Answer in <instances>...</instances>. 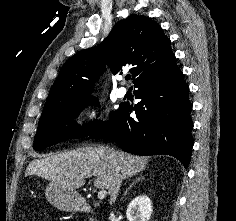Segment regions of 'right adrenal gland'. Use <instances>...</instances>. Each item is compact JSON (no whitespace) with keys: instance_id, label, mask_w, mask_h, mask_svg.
Returning a JSON list of instances; mask_svg holds the SVG:
<instances>
[{"instance_id":"2a0ac1e0","label":"right adrenal gland","mask_w":236,"mask_h":221,"mask_svg":"<svg viewBox=\"0 0 236 221\" xmlns=\"http://www.w3.org/2000/svg\"><path fill=\"white\" fill-rule=\"evenodd\" d=\"M143 179H144V177H143V176H140L139 178H137L136 180H134V181L130 184V186L125 190L124 195H123V197H122L121 200H123V198H124V196H126L127 192H128L137 182H139V181H141V180H143Z\"/></svg>"}]
</instances>
